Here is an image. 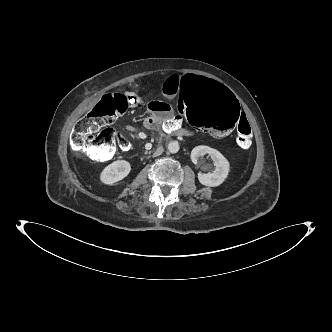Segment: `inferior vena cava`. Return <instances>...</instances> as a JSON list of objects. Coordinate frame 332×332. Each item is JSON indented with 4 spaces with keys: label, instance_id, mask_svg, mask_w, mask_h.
<instances>
[{
    "label": "inferior vena cava",
    "instance_id": "1",
    "mask_svg": "<svg viewBox=\"0 0 332 332\" xmlns=\"http://www.w3.org/2000/svg\"><path fill=\"white\" fill-rule=\"evenodd\" d=\"M162 152H163V148H158L156 150V152L154 153V156H159L160 154H162Z\"/></svg>",
    "mask_w": 332,
    "mask_h": 332
}]
</instances>
